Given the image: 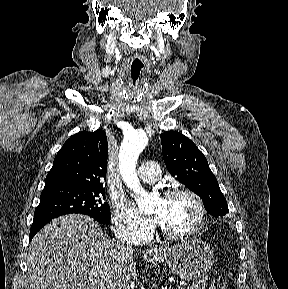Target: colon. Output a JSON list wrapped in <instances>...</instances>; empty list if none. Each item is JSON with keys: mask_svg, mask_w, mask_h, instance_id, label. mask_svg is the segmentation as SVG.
Returning <instances> with one entry per match:
<instances>
[{"mask_svg": "<svg viewBox=\"0 0 288 289\" xmlns=\"http://www.w3.org/2000/svg\"><path fill=\"white\" fill-rule=\"evenodd\" d=\"M210 289H228V286L223 279L217 278L211 282Z\"/></svg>", "mask_w": 288, "mask_h": 289, "instance_id": "1", "label": "colon"}]
</instances>
